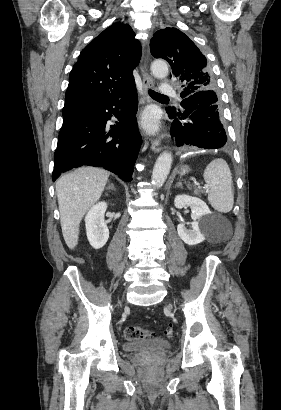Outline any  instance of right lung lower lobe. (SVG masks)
Here are the masks:
<instances>
[{
  "label": "right lung lower lobe",
  "mask_w": 281,
  "mask_h": 410,
  "mask_svg": "<svg viewBox=\"0 0 281 410\" xmlns=\"http://www.w3.org/2000/svg\"><path fill=\"white\" fill-rule=\"evenodd\" d=\"M138 96L133 86L106 98L68 122L59 133L52 179L83 165L103 167L124 181L132 180L134 163L141 145L136 121ZM115 116V125H106Z\"/></svg>",
  "instance_id": "obj_1"
}]
</instances>
